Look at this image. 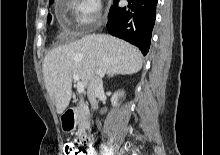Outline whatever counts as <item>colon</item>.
I'll return each instance as SVG.
<instances>
[{"mask_svg":"<svg viewBox=\"0 0 220 155\" xmlns=\"http://www.w3.org/2000/svg\"><path fill=\"white\" fill-rule=\"evenodd\" d=\"M84 146V143L67 142L64 145V155H88L83 149Z\"/></svg>","mask_w":220,"mask_h":155,"instance_id":"obj_1","label":"colon"}]
</instances>
